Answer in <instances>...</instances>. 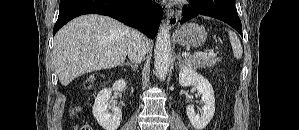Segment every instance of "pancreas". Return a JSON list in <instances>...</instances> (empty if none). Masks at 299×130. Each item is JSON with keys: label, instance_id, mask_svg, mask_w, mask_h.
<instances>
[{"label": "pancreas", "instance_id": "cf45deb5", "mask_svg": "<svg viewBox=\"0 0 299 130\" xmlns=\"http://www.w3.org/2000/svg\"><path fill=\"white\" fill-rule=\"evenodd\" d=\"M220 61L221 59L216 58L215 56L203 57V56L189 55L187 57H184L183 65H186L190 68L198 69V68L212 67L217 62Z\"/></svg>", "mask_w": 299, "mask_h": 130}]
</instances>
